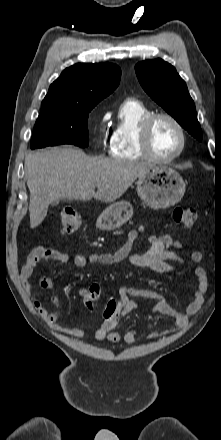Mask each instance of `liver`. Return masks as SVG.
<instances>
[{
	"instance_id": "obj_1",
	"label": "liver",
	"mask_w": 221,
	"mask_h": 440,
	"mask_svg": "<svg viewBox=\"0 0 221 440\" xmlns=\"http://www.w3.org/2000/svg\"><path fill=\"white\" fill-rule=\"evenodd\" d=\"M153 166L146 162L89 157L72 147L29 153L25 157V171L30 191V227L42 223L54 200L94 197L105 203L113 202Z\"/></svg>"
}]
</instances>
